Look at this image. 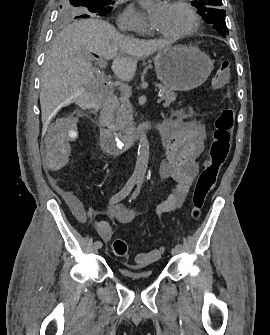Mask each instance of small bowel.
Segmentation results:
<instances>
[{"mask_svg": "<svg viewBox=\"0 0 270 335\" xmlns=\"http://www.w3.org/2000/svg\"><path fill=\"white\" fill-rule=\"evenodd\" d=\"M162 143L166 148V157L160 162L159 177L171 179L176 185L162 203L155 208L156 213L165 214L178 209L195 179L199 166L197 159L204 149L205 130L197 125L181 119L165 120L162 123ZM77 136L76 122L70 117L57 120L50 131L48 138L46 165L50 169H61L62 165L71 166L68 158L69 151L75 150L74 144H67ZM107 219L95 223L94 227L99 236L107 241L114 233L116 223H129L135 214L122 204H116L110 210L103 212ZM85 221V216L81 215Z\"/></svg>", "mask_w": 270, "mask_h": 335, "instance_id": "c3829d8e", "label": "small bowel"}]
</instances>
